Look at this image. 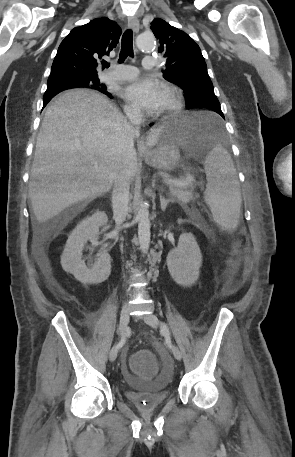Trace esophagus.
<instances>
[{
    "instance_id": "obj_1",
    "label": "esophagus",
    "mask_w": 295,
    "mask_h": 457,
    "mask_svg": "<svg viewBox=\"0 0 295 457\" xmlns=\"http://www.w3.org/2000/svg\"><path fill=\"white\" fill-rule=\"evenodd\" d=\"M128 28L133 30L135 33L139 31V20L136 16H132L128 20ZM138 148L141 152H146V146L143 141H141L138 145Z\"/></svg>"
}]
</instances>
